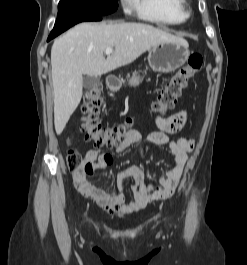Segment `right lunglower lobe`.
<instances>
[{"label":"right lung lower lobe","instance_id":"1","mask_svg":"<svg viewBox=\"0 0 247 265\" xmlns=\"http://www.w3.org/2000/svg\"><path fill=\"white\" fill-rule=\"evenodd\" d=\"M101 19L102 16L94 14H79V15L57 18L54 29L50 33L47 41H50L51 39L55 38L56 36H58L59 34L66 31L67 29H69L70 27H72L77 23L83 21H99Z\"/></svg>","mask_w":247,"mask_h":265}]
</instances>
